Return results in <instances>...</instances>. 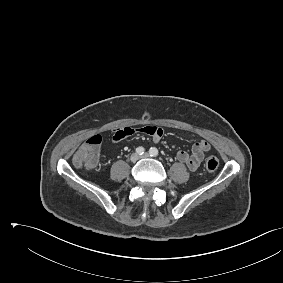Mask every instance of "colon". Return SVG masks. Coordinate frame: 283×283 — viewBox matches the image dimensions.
I'll return each mask as SVG.
<instances>
[{"instance_id": "colon-1", "label": "colon", "mask_w": 283, "mask_h": 283, "mask_svg": "<svg viewBox=\"0 0 283 283\" xmlns=\"http://www.w3.org/2000/svg\"><path fill=\"white\" fill-rule=\"evenodd\" d=\"M101 137L94 135L89 138L75 153L73 161L79 168L93 169L97 164ZM219 167V160L215 156H209L205 161V168L208 171H215Z\"/></svg>"}]
</instances>
